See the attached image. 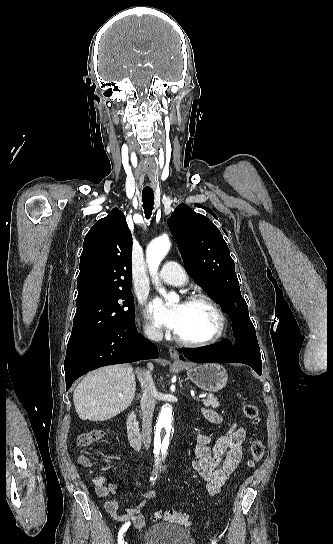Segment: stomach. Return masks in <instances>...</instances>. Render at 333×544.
I'll use <instances>...</instances> for the list:
<instances>
[{"label": "stomach", "instance_id": "stomach-1", "mask_svg": "<svg viewBox=\"0 0 333 544\" xmlns=\"http://www.w3.org/2000/svg\"><path fill=\"white\" fill-rule=\"evenodd\" d=\"M190 380L199 388L208 392L222 390L228 381L225 368L218 363H205L186 367Z\"/></svg>", "mask_w": 333, "mask_h": 544}]
</instances>
